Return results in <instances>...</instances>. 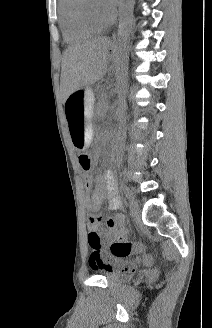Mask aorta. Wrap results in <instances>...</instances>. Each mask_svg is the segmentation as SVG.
I'll use <instances>...</instances> for the list:
<instances>
[{
    "label": "aorta",
    "instance_id": "aorta-1",
    "mask_svg": "<svg viewBox=\"0 0 212 328\" xmlns=\"http://www.w3.org/2000/svg\"><path fill=\"white\" fill-rule=\"evenodd\" d=\"M134 0H121L120 19L117 30V64H116V90H117V120H118V139L123 141L125 136L126 123V88L128 77V46L133 22ZM120 174L119 170L115 171Z\"/></svg>",
    "mask_w": 212,
    "mask_h": 328
}]
</instances>
